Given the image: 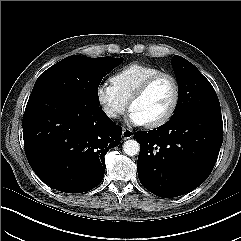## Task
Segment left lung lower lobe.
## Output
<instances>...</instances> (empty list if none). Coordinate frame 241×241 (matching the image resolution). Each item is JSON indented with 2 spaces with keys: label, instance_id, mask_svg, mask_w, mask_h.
Returning <instances> with one entry per match:
<instances>
[{
  "label": "left lung lower lobe",
  "instance_id": "0a47b994",
  "mask_svg": "<svg viewBox=\"0 0 241 241\" xmlns=\"http://www.w3.org/2000/svg\"><path fill=\"white\" fill-rule=\"evenodd\" d=\"M141 184L169 198L186 194L210 175L223 141L221 109L184 111L157 130L136 132Z\"/></svg>",
  "mask_w": 241,
  "mask_h": 241
}]
</instances>
